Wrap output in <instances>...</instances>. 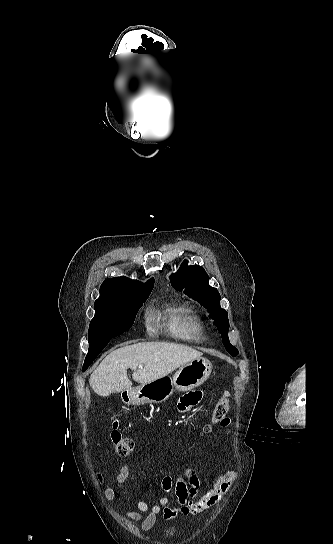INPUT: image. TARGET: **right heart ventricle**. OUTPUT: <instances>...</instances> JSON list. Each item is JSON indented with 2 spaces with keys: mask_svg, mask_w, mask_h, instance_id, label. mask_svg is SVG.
Returning a JSON list of instances; mask_svg holds the SVG:
<instances>
[{
  "mask_svg": "<svg viewBox=\"0 0 333 544\" xmlns=\"http://www.w3.org/2000/svg\"><path fill=\"white\" fill-rule=\"evenodd\" d=\"M168 326L174 336L183 340L200 341L203 338V322L191 307L171 309Z\"/></svg>",
  "mask_w": 333,
  "mask_h": 544,
  "instance_id": "e07e8e85",
  "label": "right heart ventricle"
}]
</instances>
